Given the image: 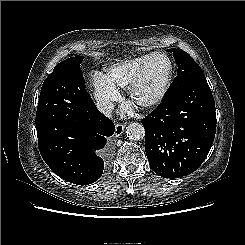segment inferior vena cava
Masks as SVG:
<instances>
[{
	"mask_svg": "<svg viewBox=\"0 0 245 245\" xmlns=\"http://www.w3.org/2000/svg\"><path fill=\"white\" fill-rule=\"evenodd\" d=\"M97 108L100 112H102L104 115L111 117L112 116V110L114 109V105L109 100H100L96 103Z\"/></svg>",
	"mask_w": 245,
	"mask_h": 245,
	"instance_id": "inferior-vena-cava-1",
	"label": "inferior vena cava"
}]
</instances>
